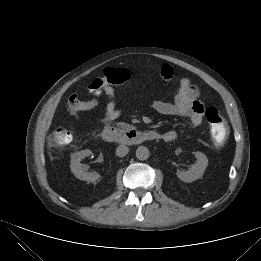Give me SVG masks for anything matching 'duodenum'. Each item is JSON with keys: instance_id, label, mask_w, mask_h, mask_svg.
Here are the masks:
<instances>
[{"instance_id": "1", "label": "duodenum", "mask_w": 261, "mask_h": 261, "mask_svg": "<svg viewBox=\"0 0 261 261\" xmlns=\"http://www.w3.org/2000/svg\"><path fill=\"white\" fill-rule=\"evenodd\" d=\"M101 135L102 138L108 142L127 145H135L159 138V134L152 130L139 131L136 129H119L114 126L105 127Z\"/></svg>"}]
</instances>
